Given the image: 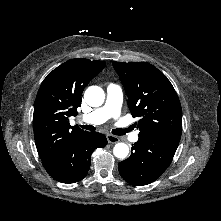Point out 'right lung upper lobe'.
I'll use <instances>...</instances> for the list:
<instances>
[{
    "instance_id": "obj_1",
    "label": "right lung upper lobe",
    "mask_w": 221,
    "mask_h": 221,
    "mask_svg": "<svg viewBox=\"0 0 221 221\" xmlns=\"http://www.w3.org/2000/svg\"><path fill=\"white\" fill-rule=\"evenodd\" d=\"M105 65L103 61L71 59L54 69L42 82L33 115L35 142L42 161L86 133L77 126H70L69 117L77 114L84 88Z\"/></svg>"
}]
</instances>
